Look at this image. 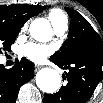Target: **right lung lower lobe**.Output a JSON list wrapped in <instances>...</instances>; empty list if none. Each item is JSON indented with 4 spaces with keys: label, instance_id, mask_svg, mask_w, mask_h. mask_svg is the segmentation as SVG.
<instances>
[{
    "label": "right lung lower lobe",
    "instance_id": "right-lung-lower-lobe-1",
    "mask_svg": "<svg viewBox=\"0 0 103 103\" xmlns=\"http://www.w3.org/2000/svg\"><path fill=\"white\" fill-rule=\"evenodd\" d=\"M34 77V64L23 58L10 69L0 65V103H15L20 87Z\"/></svg>",
    "mask_w": 103,
    "mask_h": 103
}]
</instances>
